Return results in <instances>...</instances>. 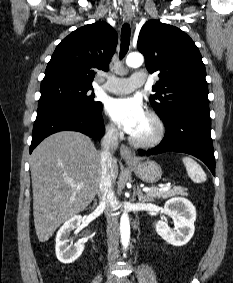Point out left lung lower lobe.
<instances>
[{"instance_id":"obj_1","label":"left lung lower lobe","mask_w":233,"mask_h":283,"mask_svg":"<svg viewBox=\"0 0 233 283\" xmlns=\"http://www.w3.org/2000/svg\"><path fill=\"white\" fill-rule=\"evenodd\" d=\"M163 121L167 129L165 138L159 146L147 151L146 155L167 151L184 152L202 160L215 175L209 108H186ZM144 154L145 151H140V155Z\"/></svg>"}]
</instances>
